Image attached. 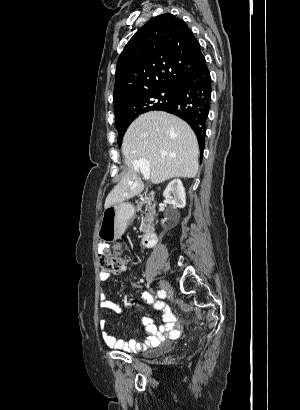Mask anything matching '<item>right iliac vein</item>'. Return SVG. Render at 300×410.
<instances>
[{
  "mask_svg": "<svg viewBox=\"0 0 300 410\" xmlns=\"http://www.w3.org/2000/svg\"><path fill=\"white\" fill-rule=\"evenodd\" d=\"M159 287L167 294H171L172 293V286L167 282V281H160L159 282Z\"/></svg>",
  "mask_w": 300,
  "mask_h": 410,
  "instance_id": "63e3f726",
  "label": "right iliac vein"
}]
</instances>
